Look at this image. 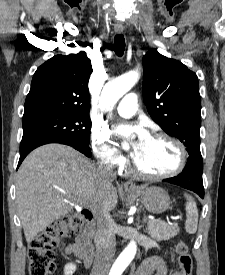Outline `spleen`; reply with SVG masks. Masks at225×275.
Returning a JSON list of instances; mask_svg holds the SVG:
<instances>
[{
  "label": "spleen",
  "instance_id": "spleen-1",
  "mask_svg": "<svg viewBox=\"0 0 225 275\" xmlns=\"http://www.w3.org/2000/svg\"><path fill=\"white\" fill-rule=\"evenodd\" d=\"M185 198L187 200L185 209H186V222H185V230L190 234H195L198 226V209L196 202L193 198L187 194H185Z\"/></svg>",
  "mask_w": 225,
  "mask_h": 275
}]
</instances>
